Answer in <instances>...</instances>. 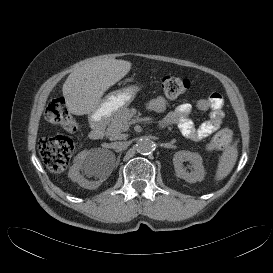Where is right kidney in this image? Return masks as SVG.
<instances>
[{"label":"right kidney","mask_w":273,"mask_h":273,"mask_svg":"<svg viewBox=\"0 0 273 273\" xmlns=\"http://www.w3.org/2000/svg\"><path fill=\"white\" fill-rule=\"evenodd\" d=\"M73 166L69 170V177L72 181L77 182L81 187L87 189H95L99 186V182H89L80 173V170L88 176H96L99 178H106L113 169V161L106 159L96 160L90 151H83L79 153Z\"/></svg>","instance_id":"ca27d5eb"}]
</instances>
